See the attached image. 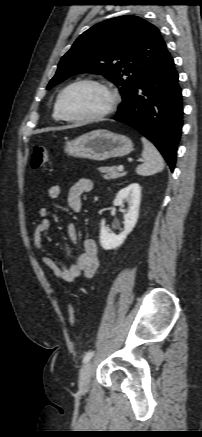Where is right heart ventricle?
Masks as SVG:
<instances>
[{
    "label": "right heart ventricle",
    "mask_w": 202,
    "mask_h": 437,
    "mask_svg": "<svg viewBox=\"0 0 202 437\" xmlns=\"http://www.w3.org/2000/svg\"><path fill=\"white\" fill-rule=\"evenodd\" d=\"M53 117L55 120H62V118L60 117L58 110H57L56 101H55L54 107H53Z\"/></svg>",
    "instance_id": "obj_1"
}]
</instances>
